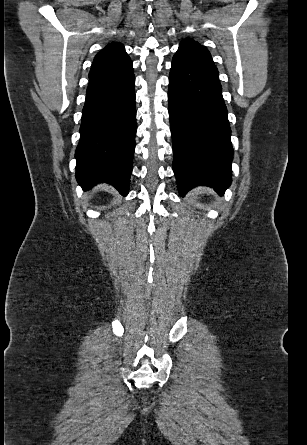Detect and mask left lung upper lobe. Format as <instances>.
<instances>
[{
  "label": "left lung upper lobe",
  "mask_w": 307,
  "mask_h": 445,
  "mask_svg": "<svg viewBox=\"0 0 307 445\" xmlns=\"http://www.w3.org/2000/svg\"><path fill=\"white\" fill-rule=\"evenodd\" d=\"M174 56L181 57L218 78V70L212 61L209 51L195 41L183 40Z\"/></svg>",
  "instance_id": "1"
}]
</instances>
